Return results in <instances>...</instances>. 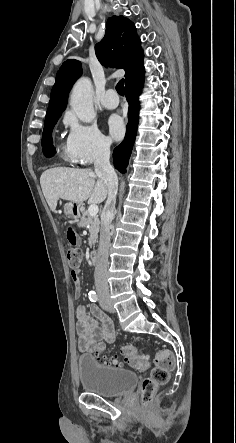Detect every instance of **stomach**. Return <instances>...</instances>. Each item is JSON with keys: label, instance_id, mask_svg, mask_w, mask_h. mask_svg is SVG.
I'll list each match as a JSON object with an SVG mask.
<instances>
[{"label": "stomach", "instance_id": "obj_1", "mask_svg": "<svg viewBox=\"0 0 236 443\" xmlns=\"http://www.w3.org/2000/svg\"><path fill=\"white\" fill-rule=\"evenodd\" d=\"M82 205L74 202H68L64 205V214L73 219H78L80 217Z\"/></svg>", "mask_w": 236, "mask_h": 443}]
</instances>
